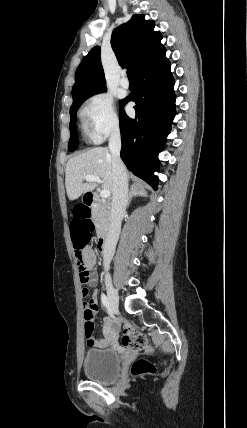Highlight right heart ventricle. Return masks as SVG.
Listing matches in <instances>:
<instances>
[{
  "label": "right heart ventricle",
  "mask_w": 247,
  "mask_h": 428,
  "mask_svg": "<svg viewBox=\"0 0 247 428\" xmlns=\"http://www.w3.org/2000/svg\"><path fill=\"white\" fill-rule=\"evenodd\" d=\"M81 123H82V128H83L84 132L87 134L88 133V126H87V121H86L85 117L81 118Z\"/></svg>",
  "instance_id": "right-heart-ventricle-1"
}]
</instances>
